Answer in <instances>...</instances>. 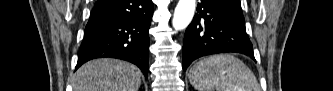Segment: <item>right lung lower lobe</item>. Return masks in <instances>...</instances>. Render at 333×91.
Listing matches in <instances>:
<instances>
[{"label":"right lung lower lobe","mask_w":333,"mask_h":91,"mask_svg":"<svg viewBox=\"0 0 333 91\" xmlns=\"http://www.w3.org/2000/svg\"><path fill=\"white\" fill-rule=\"evenodd\" d=\"M152 0H98L85 28L76 69L94 59L111 57L137 65L148 75Z\"/></svg>","instance_id":"obj_1"}]
</instances>
